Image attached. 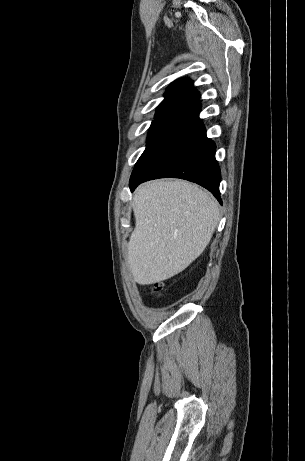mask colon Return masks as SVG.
<instances>
[{
	"mask_svg": "<svg viewBox=\"0 0 305 461\" xmlns=\"http://www.w3.org/2000/svg\"><path fill=\"white\" fill-rule=\"evenodd\" d=\"M160 290H162V285L156 284V286H155V291L158 292V291H160Z\"/></svg>",
	"mask_w": 305,
	"mask_h": 461,
	"instance_id": "5ec220e1",
	"label": "colon"
}]
</instances>
